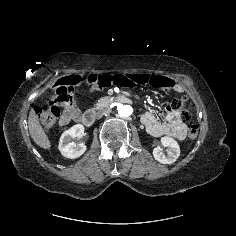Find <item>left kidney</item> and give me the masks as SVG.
Here are the masks:
<instances>
[{
  "instance_id": "obj_1",
  "label": "left kidney",
  "mask_w": 236,
  "mask_h": 236,
  "mask_svg": "<svg viewBox=\"0 0 236 236\" xmlns=\"http://www.w3.org/2000/svg\"><path fill=\"white\" fill-rule=\"evenodd\" d=\"M161 143L167 148L166 153H164L160 147L154 148L153 156L155 160L162 164L174 163L180 155L179 144L176 140L168 136L162 137Z\"/></svg>"
}]
</instances>
